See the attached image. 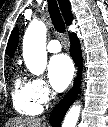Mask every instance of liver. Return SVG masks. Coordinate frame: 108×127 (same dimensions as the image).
Masks as SVG:
<instances>
[{"label": "liver", "instance_id": "liver-1", "mask_svg": "<svg viewBox=\"0 0 108 127\" xmlns=\"http://www.w3.org/2000/svg\"><path fill=\"white\" fill-rule=\"evenodd\" d=\"M5 127H46L41 118L14 117L10 118Z\"/></svg>", "mask_w": 108, "mask_h": 127}]
</instances>
